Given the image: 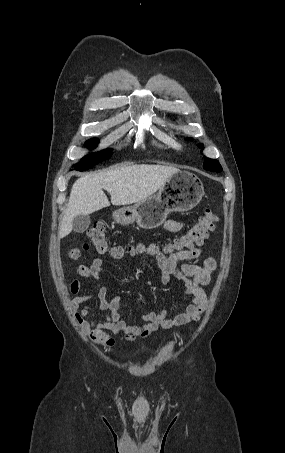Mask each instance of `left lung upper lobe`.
Listing matches in <instances>:
<instances>
[{
    "instance_id": "left-lung-upper-lobe-1",
    "label": "left lung upper lobe",
    "mask_w": 285,
    "mask_h": 453,
    "mask_svg": "<svg viewBox=\"0 0 285 453\" xmlns=\"http://www.w3.org/2000/svg\"><path fill=\"white\" fill-rule=\"evenodd\" d=\"M198 147L199 148H203L204 145L203 144H199ZM203 168L208 170V171H213V172L222 171V167L219 164V162L217 160L209 159V158L205 159L204 164H203Z\"/></svg>"
}]
</instances>
